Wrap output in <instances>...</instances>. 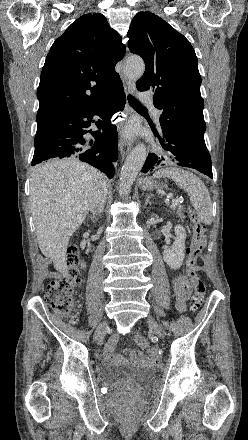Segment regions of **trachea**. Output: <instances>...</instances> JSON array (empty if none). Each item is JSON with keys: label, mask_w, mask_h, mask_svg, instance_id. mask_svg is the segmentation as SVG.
I'll use <instances>...</instances> for the list:
<instances>
[{"label": "trachea", "mask_w": 248, "mask_h": 440, "mask_svg": "<svg viewBox=\"0 0 248 440\" xmlns=\"http://www.w3.org/2000/svg\"><path fill=\"white\" fill-rule=\"evenodd\" d=\"M127 99H128L129 104L134 109L146 110V108L143 107L142 104L136 98H134L132 95H128Z\"/></svg>", "instance_id": "1"}]
</instances>
